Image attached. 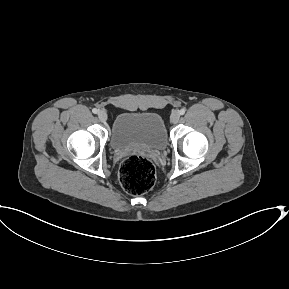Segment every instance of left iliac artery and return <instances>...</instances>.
I'll list each match as a JSON object with an SVG mask.
<instances>
[{
	"mask_svg": "<svg viewBox=\"0 0 289 289\" xmlns=\"http://www.w3.org/2000/svg\"><path fill=\"white\" fill-rule=\"evenodd\" d=\"M185 112H186V109H184V108H182V109L179 111L180 115H184Z\"/></svg>",
	"mask_w": 289,
	"mask_h": 289,
	"instance_id": "44dca946",
	"label": "left iliac artery"
}]
</instances>
